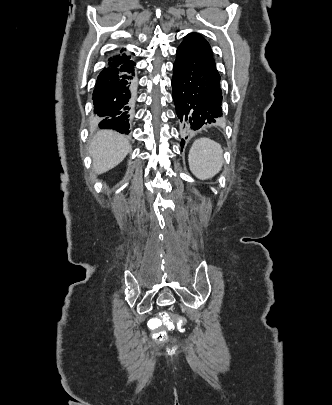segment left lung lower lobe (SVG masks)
<instances>
[{"label": "left lung lower lobe", "mask_w": 332, "mask_h": 405, "mask_svg": "<svg viewBox=\"0 0 332 405\" xmlns=\"http://www.w3.org/2000/svg\"><path fill=\"white\" fill-rule=\"evenodd\" d=\"M173 71V100L182 132L188 138L222 116L220 75L214 62L183 44L177 48Z\"/></svg>", "instance_id": "obj_1"}]
</instances>
